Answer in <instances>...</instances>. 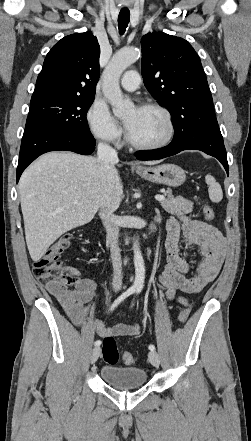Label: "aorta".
I'll return each mask as SVG.
<instances>
[{
    "instance_id": "762f6f07",
    "label": "aorta",
    "mask_w": 251,
    "mask_h": 441,
    "mask_svg": "<svg viewBox=\"0 0 251 441\" xmlns=\"http://www.w3.org/2000/svg\"><path fill=\"white\" fill-rule=\"evenodd\" d=\"M140 57V51L134 48L122 49L115 53L104 70V81L102 91L105 98L112 106L115 116L123 117L128 114L134 107L132 101L123 98L119 85V79L122 73L132 63ZM135 280L133 287L141 290L144 286L145 265L141 254L138 239L133 243Z\"/></svg>"
}]
</instances>
